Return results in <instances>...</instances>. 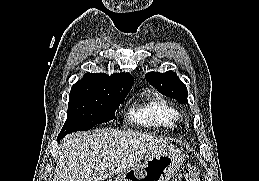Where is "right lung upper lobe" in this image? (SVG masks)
<instances>
[{
	"label": "right lung upper lobe",
	"mask_w": 259,
	"mask_h": 181,
	"mask_svg": "<svg viewBox=\"0 0 259 181\" xmlns=\"http://www.w3.org/2000/svg\"><path fill=\"white\" fill-rule=\"evenodd\" d=\"M133 82L134 79L129 73H116L111 76L104 73H86L72 86L70 93L126 97Z\"/></svg>",
	"instance_id": "right-lung-upper-lobe-1"
}]
</instances>
